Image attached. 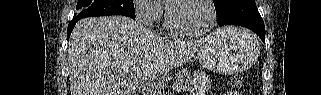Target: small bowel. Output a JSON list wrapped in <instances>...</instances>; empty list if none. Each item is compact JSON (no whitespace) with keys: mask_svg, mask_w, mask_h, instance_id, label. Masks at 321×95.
<instances>
[{"mask_svg":"<svg viewBox=\"0 0 321 95\" xmlns=\"http://www.w3.org/2000/svg\"><path fill=\"white\" fill-rule=\"evenodd\" d=\"M224 95H236V92L234 91H227L224 93Z\"/></svg>","mask_w":321,"mask_h":95,"instance_id":"small-bowel-1","label":"small bowel"}]
</instances>
